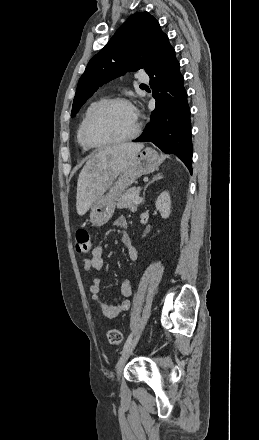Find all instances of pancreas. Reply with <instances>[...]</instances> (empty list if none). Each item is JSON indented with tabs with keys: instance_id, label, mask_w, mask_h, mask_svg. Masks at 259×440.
<instances>
[{
	"instance_id": "cf45deb5",
	"label": "pancreas",
	"mask_w": 259,
	"mask_h": 440,
	"mask_svg": "<svg viewBox=\"0 0 259 440\" xmlns=\"http://www.w3.org/2000/svg\"><path fill=\"white\" fill-rule=\"evenodd\" d=\"M139 187H132L129 190H127L121 197L118 199V202L116 204L117 208L119 209H129L132 212H135L137 210L138 204H135L134 201L136 197L139 196L140 193Z\"/></svg>"
}]
</instances>
